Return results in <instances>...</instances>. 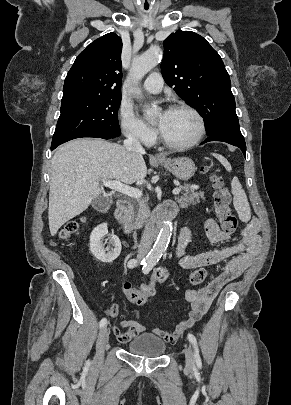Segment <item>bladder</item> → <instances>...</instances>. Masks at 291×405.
<instances>
[{
    "mask_svg": "<svg viewBox=\"0 0 291 405\" xmlns=\"http://www.w3.org/2000/svg\"><path fill=\"white\" fill-rule=\"evenodd\" d=\"M165 350V342L161 338L150 333L139 335L127 346V351L129 353L150 358L163 355Z\"/></svg>",
    "mask_w": 291,
    "mask_h": 405,
    "instance_id": "31cf9c89",
    "label": "bladder"
}]
</instances>
